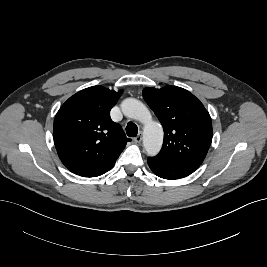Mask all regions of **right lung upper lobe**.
I'll return each mask as SVG.
<instances>
[{
  "label": "right lung upper lobe",
  "mask_w": 267,
  "mask_h": 267,
  "mask_svg": "<svg viewBox=\"0 0 267 267\" xmlns=\"http://www.w3.org/2000/svg\"><path fill=\"white\" fill-rule=\"evenodd\" d=\"M121 94L103 86L89 87L70 97L57 112L54 143L71 172L83 177L104 174L131 141L110 118Z\"/></svg>",
  "instance_id": "1"
}]
</instances>
